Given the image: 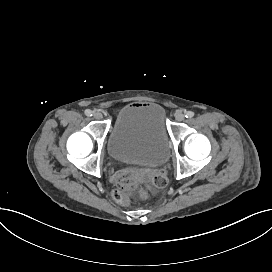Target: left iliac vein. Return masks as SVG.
Segmentation results:
<instances>
[{
  "instance_id": "obj_1",
  "label": "left iliac vein",
  "mask_w": 272,
  "mask_h": 272,
  "mask_svg": "<svg viewBox=\"0 0 272 272\" xmlns=\"http://www.w3.org/2000/svg\"><path fill=\"white\" fill-rule=\"evenodd\" d=\"M175 118L178 122H181L184 120L185 116L183 113H181L180 111H177L175 114Z\"/></svg>"
}]
</instances>
